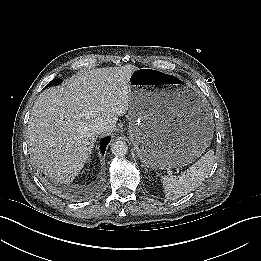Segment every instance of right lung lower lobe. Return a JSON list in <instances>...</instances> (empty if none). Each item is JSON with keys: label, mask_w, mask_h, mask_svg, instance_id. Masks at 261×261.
<instances>
[{"label": "right lung lower lobe", "mask_w": 261, "mask_h": 261, "mask_svg": "<svg viewBox=\"0 0 261 261\" xmlns=\"http://www.w3.org/2000/svg\"><path fill=\"white\" fill-rule=\"evenodd\" d=\"M110 141V137H106V138H104L103 140H102V142H101V151H102V153L104 154V152H105V149H106V145H107V143Z\"/></svg>", "instance_id": "right-lung-lower-lobe-1"}]
</instances>
